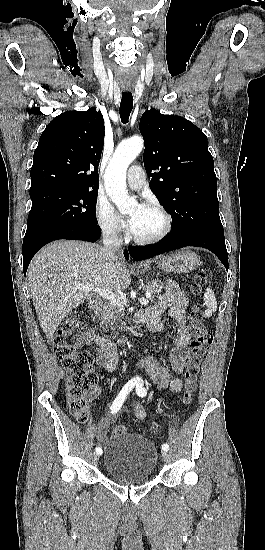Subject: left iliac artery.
Segmentation results:
<instances>
[{
  "instance_id": "obj_1",
  "label": "left iliac artery",
  "mask_w": 265,
  "mask_h": 550,
  "mask_svg": "<svg viewBox=\"0 0 265 550\" xmlns=\"http://www.w3.org/2000/svg\"><path fill=\"white\" fill-rule=\"evenodd\" d=\"M136 393L140 397H144L147 394V391L144 387V384H143L142 380H139L136 384ZM162 450L168 451L169 450V445L168 444H163L162 445Z\"/></svg>"
}]
</instances>
